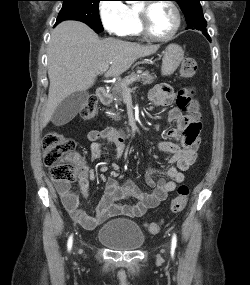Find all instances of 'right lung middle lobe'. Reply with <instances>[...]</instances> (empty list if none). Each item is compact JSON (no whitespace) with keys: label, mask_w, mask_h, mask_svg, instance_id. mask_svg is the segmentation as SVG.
<instances>
[{"label":"right lung middle lobe","mask_w":250,"mask_h":285,"mask_svg":"<svg viewBox=\"0 0 250 285\" xmlns=\"http://www.w3.org/2000/svg\"><path fill=\"white\" fill-rule=\"evenodd\" d=\"M63 6L56 24L64 20H77L86 23L96 33L103 31L98 6L101 0H62Z\"/></svg>","instance_id":"right-lung-middle-lobe-1"}]
</instances>
